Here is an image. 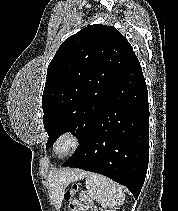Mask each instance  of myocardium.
<instances>
[{"label":"myocardium","instance_id":"f54148a6","mask_svg":"<svg viewBox=\"0 0 178 211\" xmlns=\"http://www.w3.org/2000/svg\"><path fill=\"white\" fill-rule=\"evenodd\" d=\"M65 142L66 147L63 151L59 150V145ZM80 145V137L72 129H66L62 131L61 133L58 134L56 137L54 144H53V152L58 156V157H67L74 153Z\"/></svg>","mask_w":178,"mask_h":211}]
</instances>
